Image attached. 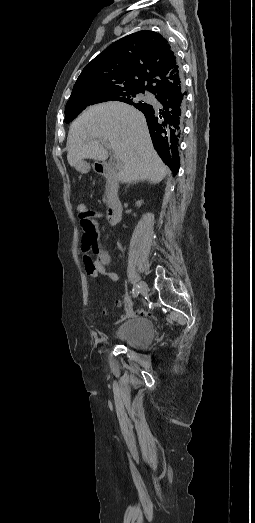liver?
Returning a JSON list of instances; mask_svg holds the SVG:
<instances>
[{"mask_svg":"<svg viewBox=\"0 0 255 523\" xmlns=\"http://www.w3.org/2000/svg\"><path fill=\"white\" fill-rule=\"evenodd\" d=\"M109 146L123 166L118 172L122 184L149 180L159 184L168 168L153 148L144 114L123 102H105L87 108L72 122L67 138V160L78 166L83 160L104 162Z\"/></svg>","mask_w":255,"mask_h":523,"instance_id":"liver-1","label":"liver"}]
</instances>
